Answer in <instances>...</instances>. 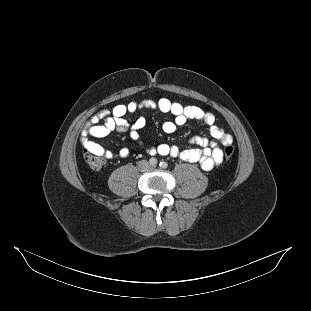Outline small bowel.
<instances>
[{"label": "small bowel", "mask_w": 311, "mask_h": 311, "mask_svg": "<svg viewBox=\"0 0 311 311\" xmlns=\"http://www.w3.org/2000/svg\"><path fill=\"white\" fill-rule=\"evenodd\" d=\"M143 108H157L164 113L173 115V120L165 121L162 124V130L165 133H173L178 126L184 125L189 119H194L205 123L209 127L213 138V140H209L205 137H193L190 142L197 147L187 150H181L175 145L163 143L157 147L146 148L148 154L171 156L186 162L199 163L204 170H210L223 162V151L218 143L228 145L232 143L233 139L230 134L216 124L215 116L200 107L184 106L167 98H161L158 101L147 99L132 101L127 104L116 105L112 111L102 110L98 112L87 121L81 132L80 141L82 145L86 150L101 154L107 158L126 157L128 155L127 149H121L113 153L105 150L100 144L91 141L90 137L103 138L113 131H129L131 139L143 146L139 130L145 126V118L138 117L131 126L125 119L127 114Z\"/></svg>", "instance_id": "obj_1"}]
</instances>
